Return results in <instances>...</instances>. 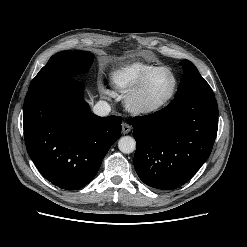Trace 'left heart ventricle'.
Returning a JSON list of instances; mask_svg holds the SVG:
<instances>
[{
  "instance_id": "b2bd125f",
  "label": "left heart ventricle",
  "mask_w": 247,
  "mask_h": 247,
  "mask_svg": "<svg viewBox=\"0 0 247 247\" xmlns=\"http://www.w3.org/2000/svg\"><path fill=\"white\" fill-rule=\"evenodd\" d=\"M173 86V79L166 71H157L146 80L139 95V100L145 104H155L168 96Z\"/></svg>"
}]
</instances>
